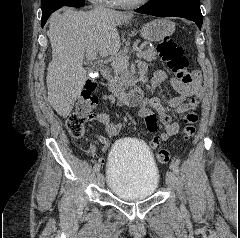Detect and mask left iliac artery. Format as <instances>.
Instances as JSON below:
<instances>
[{
    "mask_svg": "<svg viewBox=\"0 0 240 238\" xmlns=\"http://www.w3.org/2000/svg\"><path fill=\"white\" fill-rule=\"evenodd\" d=\"M170 168H171L176 174L179 173V165H178L177 161H174V160H173V161L171 162Z\"/></svg>",
    "mask_w": 240,
    "mask_h": 238,
    "instance_id": "44dca946",
    "label": "left iliac artery"
}]
</instances>
